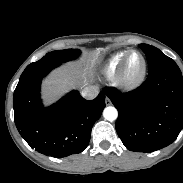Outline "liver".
<instances>
[{
  "label": "liver",
  "mask_w": 183,
  "mask_h": 183,
  "mask_svg": "<svg viewBox=\"0 0 183 183\" xmlns=\"http://www.w3.org/2000/svg\"><path fill=\"white\" fill-rule=\"evenodd\" d=\"M98 56V51L86 52L82 57L84 68L70 65L54 72L43 84L42 93L46 103L53 102L70 88L82 86L85 73L89 71L92 74Z\"/></svg>",
  "instance_id": "6515ba94"
}]
</instances>
